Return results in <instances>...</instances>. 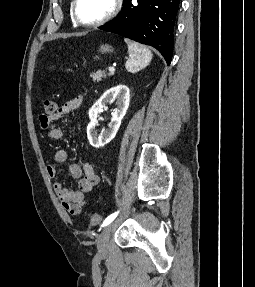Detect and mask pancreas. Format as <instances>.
Returning a JSON list of instances; mask_svg holds the SVG:
<instances>
[{"instance_id":"cf45deb5","label":"pancreas","mask_w":255,"mask_h":287,"mask_svg":"<svg viewBox=\"0 0 255 287\" xmlns=\"http://www.w3.org/2000/svg\"><path fill=\"white\" fill-rule=\"evenodd\" d=\"M106 76H113L112 72H109V74H105L104 70H97L95 74H90V78L94 80V82H101V78H106Z\"/></svg>"}]
</instances>
